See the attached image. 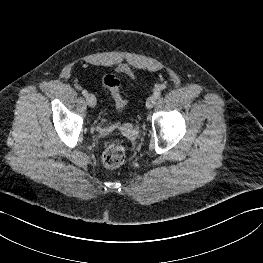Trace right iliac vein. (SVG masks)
I'll return each instance as SVG.
<instances>
[{
	"mask_svg": "<svg viewBox=\"0 0 263 263\" xmlns=\"http://www.w3.org/2000/svg\"><path fill=\"white\" fill-rule=\"evenodd\" d=\"M86 101L90 107H94L96 105V102H97L96 97L93 94H88L86 96Z\"/></svg>",
	"mask_w": 263,
	"mask_h": 263,
	"instance_id": "right-iliac-vein-1",
	"label": "right iliac vein"
}]
</instances>
